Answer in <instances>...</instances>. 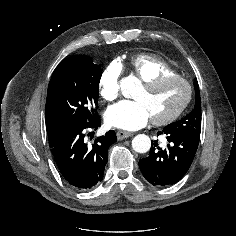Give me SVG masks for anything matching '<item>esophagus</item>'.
Listing matches in <instances>:
<instances>
[{
  "mask_svg": "<svg viewBox=\"0 0 236 236\" xmlns=\"http://www.w3.org/2000/svg\"><path fill=\"white\" fill-rule=\"evenodd\" d=\"M133 134L131 132H128V131H123V130H118L117 131V138L119 140H123L125 138H128L130 136H132Z\"/></svg>",
  "mask_w": 236,
  "mask_h": 236,
  "instance_id": "esophagus-1",
  "label": "esophagus"
}]
</instances>
